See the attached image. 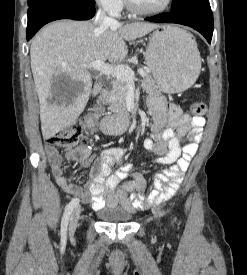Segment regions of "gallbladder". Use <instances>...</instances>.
<instances>
[{
    "label": "gallbladder",
    "instance_id": "1",
    "mask_svg": "<svg viewBox=\"0 0 247 275\" xmlns=\"http://www.w3.org/2000/svg\"><path fill=\"white\" fill-rule=\"evenodd\" d=\"M77 84V82L73 81L66 74H60L52 80L51 91L56 94L63 92L69 95H74Z\"/></svg>",
    "mask_w": 247,
    "mask_h": 275
}]
</instances>
